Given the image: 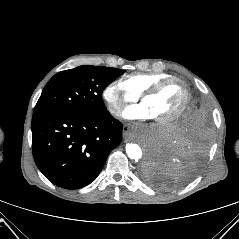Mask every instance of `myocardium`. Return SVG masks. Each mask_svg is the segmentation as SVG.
<instances>
[{
	"mask_svg": "<svg viewBox=\"0 0 239 239\" xmlns=\"http://www.w3.org/2000/svg\"><path fill=\"white\" fill-rule=\"evenodd\" d=\"M179 84L184 92V100L183 103L181 105V107L171 116L166 117L164 119L161 120H156L159 124H166V123H170L172 121L177 120L178 118H180L185 111L188 108L189 102H190V91L188 89V87L186 86V84L175 77H169L166 79H163L155 84H153L152 86H150L149 88H147L142 94H141V100L143 101L144 99H146L147 97L156 95L158 92H160L165 86L169 85V84Z\"/></svg>",
	"mask_w": 239,
	"mask_h": 239,
	"instance_id": "f54148a6",
	"label": "myocardium"
}]
</instances>
